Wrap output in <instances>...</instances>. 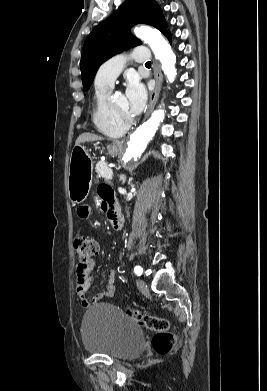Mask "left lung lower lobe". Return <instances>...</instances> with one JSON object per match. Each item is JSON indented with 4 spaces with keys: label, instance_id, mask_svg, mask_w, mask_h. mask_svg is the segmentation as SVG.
<instances>
[{
    "label": "left lung lower lobe",
    "instance_id": "0a47b994",
    "mask_svg": "<svg viewBox=\"0 0 267 391\" xmlns=\"http://www.w3.org/2000/svg\"><path fill=\"white\" fill-rule=\"evenodd\" d=\"M164 35L168 38L169 41H171V34L169 31L165 32Z\"/></svg>",
    "mask_w": 267,
    "mask_h": 391
}]
</instances>
